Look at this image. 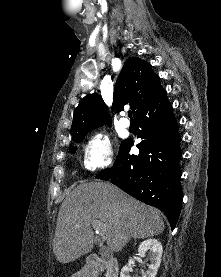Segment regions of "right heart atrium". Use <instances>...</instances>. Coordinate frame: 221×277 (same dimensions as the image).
Masks as SVG:
<instances>
[{
  "instance_id": "d8ad5b80",
  "label": "right heart atrium",
  "mask_w": 221,
  "mask_h": 277,
  "mask_svg": "<svg viewBox=\"0 0 221 277\" xmlns=\"http://www.w3.org/2000/svg\"><path fill=\"white\" fill-rule=\"evenodd\" d=\"M113 158L112 143L109 136L96 132L89 139L84 150L83 165L88 171H94L111 164Z\"/></svg>"
}]
</instances>
